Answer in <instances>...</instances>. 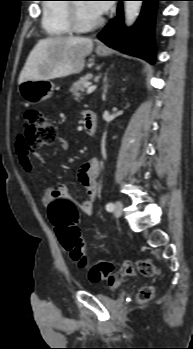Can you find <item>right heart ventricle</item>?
Returning a JSON list of instances; mask_svg holds the SVG:
<instances>
[{"instance_id":"obj_1","label":"right heart ventricle","mask_w":193,"mask_h":349,"mask_svg":"<svg viewBox=\"0 0 193 349\" xmlns=\"http://www.w3.org/2000/svg\"><path fill=\"white\" fill-rule=\"evenodd\" d=\"M67 0H47L43 5L42 28L46 35L52 38L68 36L72 33L68 22V5L66 3H52Z\"/></svg>"}]
</instances>
